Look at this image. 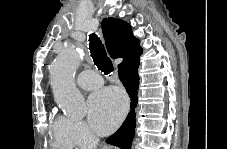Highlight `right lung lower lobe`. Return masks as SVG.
Returning <instances> with one entry per match:
<instances>
[{
    "label": "right lung lower lobe",
    "mask_w": 227,
    "mask_h": 149,
    "mask_svg": "<svg viewBox=\"0 0 227 149\" xmlns=\"http://www.w3.org/2000/svg\"><path fill=\"white\" fill-rule=\"evenodd\" d=\"M138 66L139 60L126 63L118 70L119 78L131 98V111L118 131L110 136L106 142L122 149L130 148L134 136L136 125L134 109L136 108L138 101L137 90L139 84Z\"/></svg>",
    "instance_id": "obj_1"
}]
</instances>
